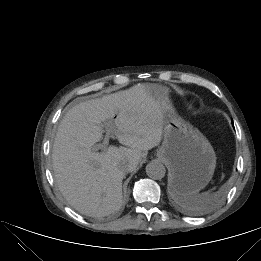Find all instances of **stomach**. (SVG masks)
Masks as SVG:
<instances>
[{"label":"stomach","mask_w":261,"mask_h":261,"mask_svg":"<svg viewBox=\"0 0 261 261\" xmlns=\"http://www.w3.org/2000/svg\"><path fill=\"white\" fill-rule=\"evenodd\" d=\"M164 108L163 143L157 157L169 168V186L175 195L196 194L213 176L215 152L197 129L177 116L168 96Z\"/></svg>","instance_id":"stomach-1"}]
</instances>
